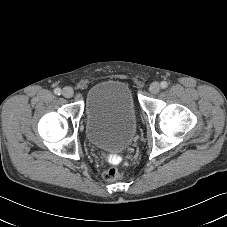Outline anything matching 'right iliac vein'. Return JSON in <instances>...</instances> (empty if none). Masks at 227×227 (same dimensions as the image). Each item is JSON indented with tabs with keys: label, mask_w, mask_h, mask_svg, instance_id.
Instances as JSON below:
<instances>
[{
	"label": "right iliac vein",
	"mask_w": 227,
	"mask_h": 227,
	"mask_svg": "<svg viewBox=\"0 0 227 227\" xmlns=\"http://www.w3.org/2000/svg\"><path fill=\"white\" fill-rule=\"evenodd\" d=\"M62 95L65 97V98H71L73 97L74 95V91L71 87H65L63 88L62 90Z\"/></svg>",
	"instance_id": "63e3f726"
}]
</instances>
